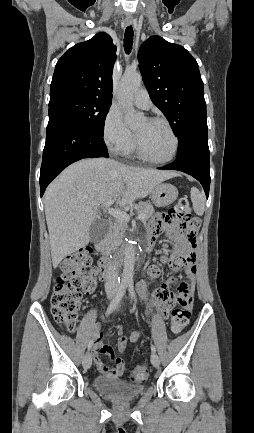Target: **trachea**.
Returning a JSON list of instances; mask_svg holds the SVG:
<instances>
[{
	"instance_id": "1",
	"label": "trachea",
	"mask_w": 254,
	"mask_h": 433,
	"mask_svg": "<svg viewBox=\"0 0 254 433\" xmlns=\"http://www.w3.org/2000/svg\"><path fill=\"white\" fill-rule=\"evenodd\" d=\"M132 45H133V28L132 26H128L124 34V49L127 54L131 52Z\"/></svg>"
}]
</instances>
